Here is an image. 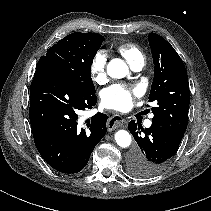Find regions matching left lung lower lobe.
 Returning <instances> with one entry per match:
<instances>
[{
    "label": "left lung lower lobe",
    "instance_id": "obj_1",
    "mask_svg": "<svg viewBox=\"0 0 211 211\" xmlns=\"http://www.w3.org/2000/svg\"><path fill=\"white\" fill-rule=\"evenodd\" d=\"M129 131L138 146L130 153L128 165L131 174L137 177H152L161 173L182 140L161 126L152 124L144 129L134 120L129 122Z\"/></svg>",
    "mask_w": 211,
    "mask_h": 211
}]
</instances>
